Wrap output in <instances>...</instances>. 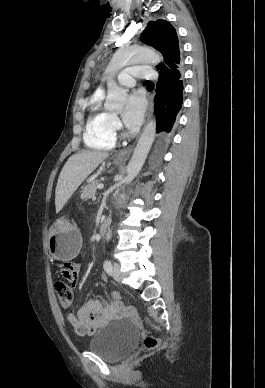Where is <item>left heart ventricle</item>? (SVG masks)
I'll return each instance as SVG.
<instances>
[{"mask_svg":"<svg viewBox=\"0 0 265 388\" xmlns=\"http://www.w3.org/2000/svg\"><path fill=\"white\" fill-rule=\"evenodd\" d=\"M118 87H119V89H120V91H127V92H129V91H131L132 90V88H133V86H120V85H118Z\"/></svg>","mask_w":265,"mask_h":388,"instance_id":"b2bd125f","label":"left heart ventricle"}]
</instances>
